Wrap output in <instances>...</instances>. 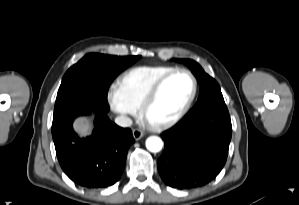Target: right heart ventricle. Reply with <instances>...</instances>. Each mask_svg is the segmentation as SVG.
Listing matches in <instances>:
<instances>
[{
    "instance_id": "e07e8e85",
    "label": "right heart ventricle",
    "mask_w": 299,
    "mask_h": 205,
    "mask_svg": "<svg viewBox=\"0 0 299 205\" xmlns=\"http://www.w3.org/2000/svg\"><path fill=\"white\" fill-rule=\"evenodd\" d=\"M174 69L170 66L134 67L119 77L116 88L123 101L133 110H137L152 86L163 75Z\"/></svg>"
}]
</instances>
